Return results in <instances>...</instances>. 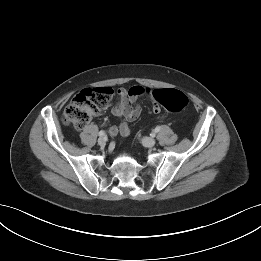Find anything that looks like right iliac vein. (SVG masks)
Returning <instances> with one entry per match:
<instances>
[{"instance_id":"obj_1","label":"right iliac vein","mask_w":261,"mask_h":261,"mask_svg":"<svg viewBox=\"0 0 261 261\" xmlns=\"http://www.w3.org/2000/svg\"><path fill=\"white\" fill-rule=\"evenodd\" d=\"M98 144L101 146V147H104L106 145V139L104 137H100L98 139Z\"/></svg>"}]
</instances>
